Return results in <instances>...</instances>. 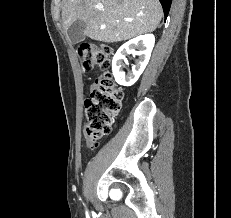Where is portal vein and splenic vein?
<instances>
[{"label":"portal vein and splenic vein","mask_w":231,"mask_h":218,"mask_svg":"<svg viewBox=\"0 0 231 218\" xmlns=\"http://www.w3.org/2000/svg\"><path fill=\"white\" fill-rule=\"evenodd\" d=\"M96 7H97V9L100 10V11L103 10V6L98 5V6H96ZM118 21H119V20H117V22H118ZM125 21H131V20L128 19V18H126Z\"/></svg>","instance_id":"18ae733b"}]
</instances>
